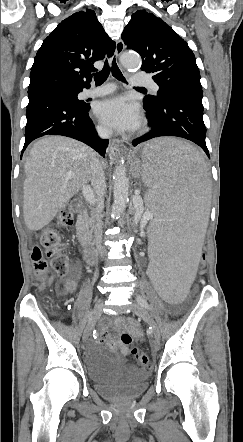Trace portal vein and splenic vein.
Instances as JSON below:
<instances>
[{"instance_id":"1","label":"portal vein and splenic vein","mask_w":243,"mask_h":442,"mask_svg":"<svg viewBox=\"0 0 243 442\" xmlns=\"http://www.w3.org/2000/svg\"><path fill=\"white\" fill-rule=\"evenodd\" d=\"M73 176H74V173H72V172H68L66 175H64V177L66 179H71ZM83 194L87 200L90 199L91 189L89 186L83 187Z\"/></svg>"}]
</instances>
